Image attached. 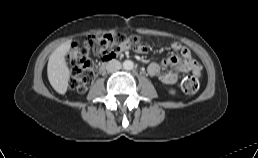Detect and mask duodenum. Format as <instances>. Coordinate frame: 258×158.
Here are the masks:
<instances>
[{
	"label": "duodenum",
	"mask_w": 258,
	"mask_h": 158,
	"mask_svg": "<svg viewBox=\"0 0 258 158\" xmlns=\"http://www.w3.org/2000/svg\"><path fill=\"white\" fill-rule=\"evenodd\" d=\"M112 59L113 57L104 59L103 62L99 65V71H103Z\"/></svg>",
	"instance_id": "duodenum-1"
}]
</instances>
